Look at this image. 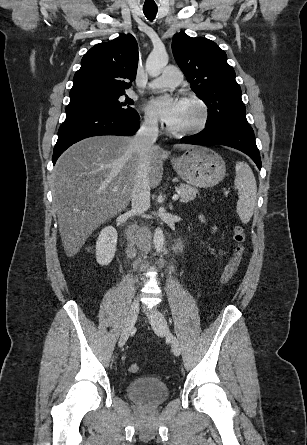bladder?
I'll return each instance as SVG.
<instances>
[{"mask_svg": "<svg viewBox=\"0 0 307 445\" xmlns=\"http://www.w3.org/2000/svg\"><path fill=\"white\" fill-rule=\"evenodd\" d=\"M126 395L137 404L153 407L167 399L169 388L163 380L157 377H142L127 384Z\"/></svg>", "mask_w": 307, "mask_h": 445, "instance_id": "obj_1", "label": "bladder"}]
</instances>
